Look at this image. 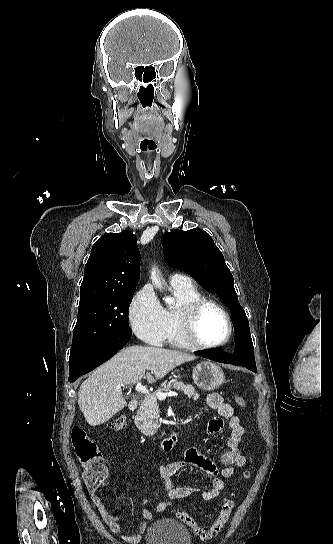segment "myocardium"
Returning <instances> with one entry per match:
<instances>
[{"label": "myocardium", "mask_w": 333, "mask_h": 544, "mask_svg": "<svg viewBox=\"0 0 333 544\" xmlns=\"http://www.w3.org/2000/svg\"><path fill=\"white\" fill-rule=\"evenodd\" d=\"M209 305L217 307L223 313L228 327V333L226 338L220 342L212 344H206L201 342L198 339L196 331L199 316L203 309ZM178 321L181 334L185 341L191 347L197 349H214L222 347L231 340L234 332L233 321L225 305L219 300L209 297H201L197 300L183 305L178 311Z\"/></svg>", "instance_id": "obj_1"}]
</instances>
